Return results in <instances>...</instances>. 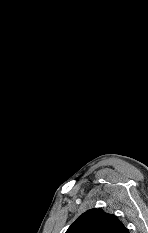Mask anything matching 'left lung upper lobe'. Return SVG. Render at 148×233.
I'll return each mask as SVG.
<instances>
[{"instance_id": "1", "label": "left lung upper lobe", "mask_w": 148, "mask_h": 233, "mask_svg": "<svg viewBox=\"0 0 148 233\" xmlns=\"http://www.w3.org/2000/svg\"><path fill=\"white\" fill-rule=\"evenodd\" d=\"M66 233H129V230L115 215L94 208L79 216Z\"/></svg>"}]
</instances>
